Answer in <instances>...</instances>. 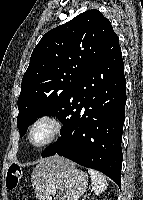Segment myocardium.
<instances>
[{"label": "myocardium", "mask_w": 143, "mask_h": 200, "mask_svg": "<svg viewBox=\"0 0 143 200\" xmlns=\"http://www.w3.org/2000/svg\"><path fill=\"white\" fill-rule=\"evenodd\" d=\"M41 124L50 125V127H51L50 134L41 143L34 144L32 141V134H33L34 130L36 129V127H38ZM63 128H64V122L59 116H57L55 114H44V115L36 118L30 124L28 131H27V135H26L27 143L31 147L36 148V149L44 148V147L52 144L53 142H55L60 137V135L62 134Z\"/></svg>", "instance_id": "obj_1"}]
</instances>
